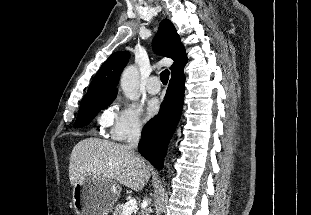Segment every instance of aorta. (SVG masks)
<instances>
[{"mask_svg": "<svg viewBox=\"0 0 311 215\" xmlns=\"http://www.w3.org/2000/svg\"><path fill=\"white\" fill-rule=\"evenodd\" d=\"M120 84L126 98L129 100L139 99V73L134 65L128 66L124 69L121 75Z\"/></svg>", "mask_w": 311, "mask_h": 215, "instance_id": "1", "label": "aorta"}]
</instances>
